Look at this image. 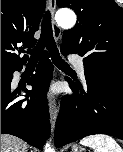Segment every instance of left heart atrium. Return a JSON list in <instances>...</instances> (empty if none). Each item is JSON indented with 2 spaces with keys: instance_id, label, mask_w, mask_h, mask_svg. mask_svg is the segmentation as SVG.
<instances>
[{
  "instance_id": "1",
  "label": "left heart atrium",
  "mask_w": 123,
  "mask_h": 152,
  "mask_svg": "<svg viewBox=\"0 0 123 152\" xmlns=\"http://www.w3.org/2000/svg\"><path fill=\"white\" fill-rule=\"evenodd\" d=\"M53 93H54V90H53V89H50L48 94H49V95H52Z\"/></svg>"
}]
</instances>
